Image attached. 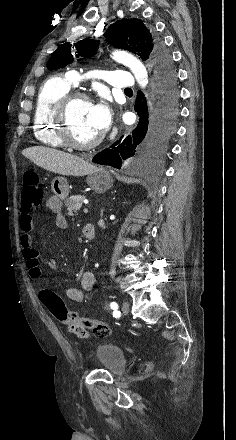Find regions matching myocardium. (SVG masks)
<instances>
[{
	"mask_svg": "<svg viewBox=\"0 0 236 440\" xmlns=\"http://www.w3.org/2000/svg\"><path fill=\"white\" fill-rule=\"evenodd\" d=\"M77 101H86L91 103V97L82 91H69L60 97L54 105L52 117L56 124V133L64 146L76 150H89L95 148L102 141V135L88 142L76 141L70 131L69 111L72 105Z\"/></svg>",
	"mask_w": 236,
	"mask_h": 440,
	"instance_id": "1",
	"label": "myocardium"
}]
</instances>
